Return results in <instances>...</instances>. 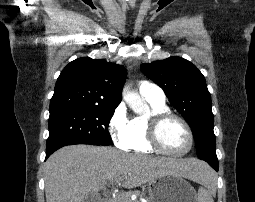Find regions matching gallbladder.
<instances>
[{
    "label": "gallbladder",
    "mask_w": 255,
    "mask_h": 202,
    "mask_svg": "<svg viewBox=\"0 0 255 202\" xmlns=\"http://www.w3.org/2000/svg\"><path fill=\"white\" fill-rule=\"evenodd\" d=\"M97 196L95 194H88L86 195L84 202H96Z\"/></svg>",
    "instance_id": "1"
}]
</instances>
